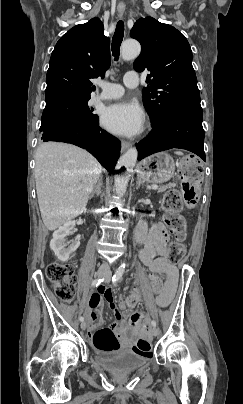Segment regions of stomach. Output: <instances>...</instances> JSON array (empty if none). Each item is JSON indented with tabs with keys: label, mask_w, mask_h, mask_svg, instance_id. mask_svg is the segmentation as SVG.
<instances>
[{
	"label": "stomach",
	"mask_w": 243,
	"mask_h": 404,
	"mask_svg": "<svg viewBox=\"0 0 243 404\" xmlns=\"http://www.w3.org/2000/svg\"><path fill=\"white\" fill-rule=\"evenodd\" d=\"M137 173L145 182L164 183L176 175L175 162L165 152L156 153L139 163Z\"/></svg>",
	"instance_id": "stomach-1"
}]
</instances>
